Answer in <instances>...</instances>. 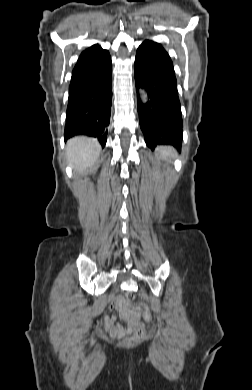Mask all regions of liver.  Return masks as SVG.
I'll use <instances>...</instances> for the list:
<instances>
[{
	"mask_svg": "<svg viewBox=\"0 0 252 390\" xmlns=\"http://www.w3.org/2000/svg\"><path fill=\"white\" fill-rule=\"evenodd\" d=\"M100 151L101 147L98 141L86 136L71 138L66 145L68 163L77 172H83L94 164Z\"/></svg>",
	"mask_w": 252,
	"mask_h": 390,
	"instance_id": "6515ba94",
	"label": "liver"
}]
</instances>
